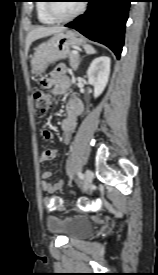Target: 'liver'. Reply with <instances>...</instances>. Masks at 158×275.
I'll return each instance as SVG.
<instances>
[{"mask_svg":"<svg viewBox=\"0 0 158 275\" xmlns=\"http://www.w3.org/2000/svg\"><path fill=\"white\" fill-rule=\"evenodd\" d=\"M66 29L64 27L60 26H53V27H35L33 28L27 35L26 39V50L29 49L32 42H34L37 39L47 37L50 35H54L56 33H60L65 31Z\"/></svg>","mask_w":158,"mask_h":275,"instance_id":"obj_1","label":"liver"}]
</instances>
